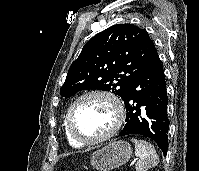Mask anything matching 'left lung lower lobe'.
<instances>
[{
	"label": "left lung lower lobe",
	"instance_id": "left-lung-lower-lobe-1",
	"mask_svg": "<svg viewBox=\"0 0 199 171\" xmlns=\"http://www.w3.org/2000/svg\"><path fill=\"white\" fill-rule=\"evenodd\" d=\"M125 125L118 136L138 134L151 138L166 155L168 150V97L158 53L142 69L123 98Z\"/></svg>",
	"mask_w": 199,
	"mask_h": 171
}]
</instances>
